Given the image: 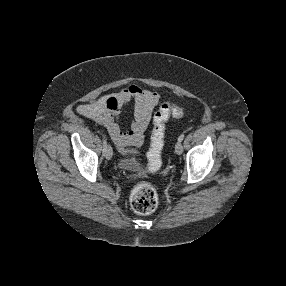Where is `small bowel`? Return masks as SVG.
<instances>
[{
    "mask_svg": "<svg viewBox=\"0 0 286 286\" xmlns=\"http://www.w3.org/2000/svg\"><path fill=\"white\" fill-rule=\"evenodd\" d=\"M160 98L157 91L131 84L117 92L106 94L93 103L79 106L78 111L104 126L119 152L133 154L143 142V133ZM129 106H132L133 120L130 128L124 130L120 119Z\"/></svg>",
    "mask_w": 286,
    "mask_h": 286,
    "instance_id": "small-bowel-1",
    "label": "small bowel"
}]
</instances>
